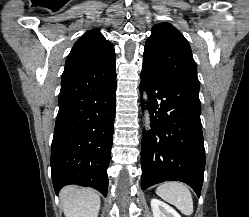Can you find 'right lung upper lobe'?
<instances>
[{
  "mask_svg": "<svg viewBox=\"0 0 249 217\" xmlns=\"http://www.w3.org/2000/svg\"><path fill=\"white\" fill-rule=\"evenodd\" d=\"M116 57L114 46L97 30L86 32L74 44L65 63V70L100 66Z\"/></svg>",
  "mask_w": 249,
  "mask_h": 217,
  "instance_id": "cb5924a9",
  "label": "right lung upper lobe"
}]
</instances>
